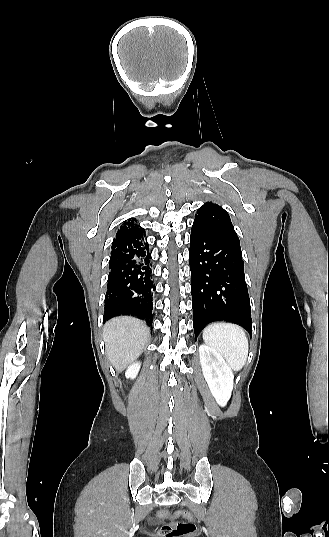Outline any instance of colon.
<instances>
[{"label":"colon","mask_w":329,"mask_h":537,"mask_svg":"<svg viewBox=\"0 0 329 537\" xmlns=\"http://www.w3.org/2000/svg\"><path fill=\"white\" fill-rule=\"evenodd\" d=\"M171 516L172 513L168 509L159 512V517L163 520H168ZM174 517L181 520L164 524L160 529L162 537H190L195 534L197 528L188 511L178 510L174 513Z\"/></svg>","instance_id":"obj_1"}]
</instances>
